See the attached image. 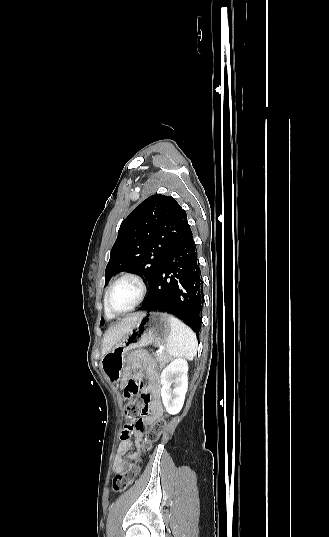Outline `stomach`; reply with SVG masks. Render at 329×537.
<instances>
[{
    "instance_id": "1",
    "label": "stomach",
    "mask_w": 329,
    "mask_h": 537,
    "mask_svg": "<svg viewBox=\"0 0 329 537\" xmlns=\"http://www.w3.org/2000/svg\"><path fill=\"white\" fill-rule=\"evenodd\" d=\"M170 315L162 312H143L130 331L101 359V367L110 381L121 376L127 351L149 344L162 345L170 336Z\"/></svg>"
}]
</instances>
